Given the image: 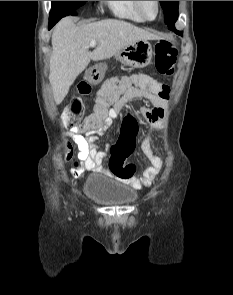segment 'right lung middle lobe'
Wrapping results in <instances>:
<instances>
[{
	"label": "right lung middle lobe",
	"instance_id": "1",
	"mask_svg": "<svg viewBox=\"0 0 233 295\" xmlns=\"http://www.w3.org/2000/svg\"><path fill=\"white\" fill-rule=\"evenodd\" d=\"M86 1H52L50 15L53 16H67L71 15L69 12L79 10Z\"/></svg>",
	"mask_w": 233,
	"mask_h": 295
}]
</instances>
